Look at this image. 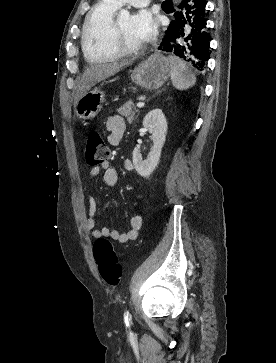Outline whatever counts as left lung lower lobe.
<instances>
[{"label":"left lung lower lobe","mask_w":276,"mask_h":363,"mask_svg":"<svg viewBox=\"0 0 276 363\" xmlns=\"http://www.w3.org/2000/svg\"><path fill=\"white\" fill-rule=\"evenodd\" d=\"M205 6L206 0H184L158 47L199 71L205 68L209 49Z\"/></svg>","instance_id":"1"}]
</instances>
